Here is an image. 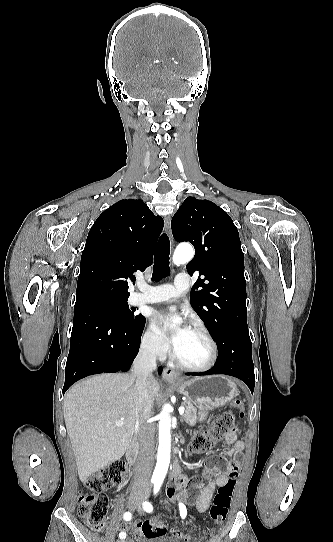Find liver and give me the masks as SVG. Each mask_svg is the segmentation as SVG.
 Instances as JSON below:
<instances>
[{"label": "liver", "instance_id": "1", "mask_svg": "<svg viewBox=\"0 0 333 542\" xmlns=\"http://www.w3.org/2000/svg\"><path fill=\"white\" fill-rule=\"evenodd\" d=\"M135 382V374H101L78 382L65 394L64 420L83 484L120 460L130 446L138 412ZM149 390L156 400L157 380H151Z\"/></svg>", "mask_w": 333, "mask_h": 542}]
</instances>
